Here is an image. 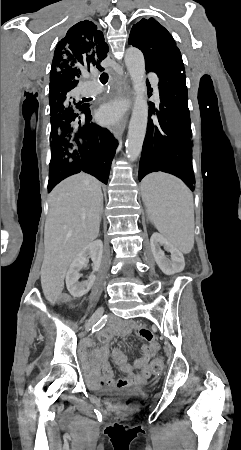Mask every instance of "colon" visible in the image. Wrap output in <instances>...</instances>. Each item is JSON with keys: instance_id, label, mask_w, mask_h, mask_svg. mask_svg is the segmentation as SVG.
Instances as JSON below:
<instances>
[{"instance_id": "5ec220e1", "label": "colon", "mask_w": 241, "mask_h": 450, "mask_svg": "<svg viewBox=\"0 0 241 450\" xmlns=\"http://www.w3.org/2000/svg\"><path fill=\"white\" fill-rule=\"evenodd\" d=\"M163 369V360L160 358H157L154 360L153 364H152V371L154 374H160L161 371ZM132 400H128L126 402V405H131L132 404Z\"/></svg>"}]
</instances>
